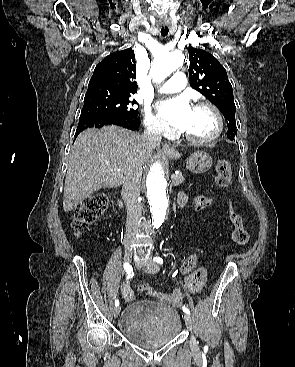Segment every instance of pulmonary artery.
<instances>
[{"label": "pulmonary artery", "mask_w": 295, "mask_h": 367, "mask_svg": "<svg viewBox=\"0 0 295 367\" xmlns=\"http://www.w3.org/2000/svg\"><path fill=\"white\" fill-rule=\"evenodd\" d=\"M187 79L186 75L182 71H177L173 76L163 83L159 88L160 93H175L179 92L186 87Z\"/></svg>", "instance_id": "pulmonary-artery-1"}]
</instances>
